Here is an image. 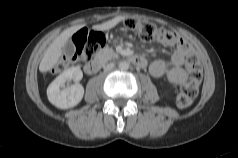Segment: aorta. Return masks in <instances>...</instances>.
<instances>
[{
  "mask_svg": "<svg viewBox=\"0 0 238 158\" xmlns=\"http://www.w3.org/2000/svg\"><path fill=\"white\" fill-rule=\"evenodd\" d=\"M119 69L122 71H127L129 69V63L126 61H121L119 63Z\"/></svg>",
  "mask_w": 238,
  "mask_h": 158,
  "instance_id": "1",
  "label": "aorta"
}]
</instances>
